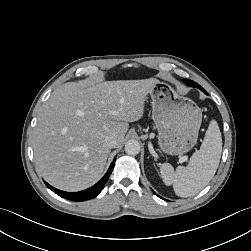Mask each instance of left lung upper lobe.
I'll return each instance as SVG.
<instances>
[{
    "mask_svg": "<svg viewBox=\"0 0 251 251\" xmlns=\"http://www.w3.org/2000/svg\"><path fill=\"white\" fill-rule=\"evenodd\" d=\"M183 82L190 87H196L200 89L201 91H203L204 93H206V91L199 84H197L196 82L192 80L184 79Z\"/></svg>",
    "mask_w": 251,
    "mask_h": 251,
    "instance_id": "1",
    "label": "left lung upper lobe"
}]
</instances>
